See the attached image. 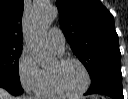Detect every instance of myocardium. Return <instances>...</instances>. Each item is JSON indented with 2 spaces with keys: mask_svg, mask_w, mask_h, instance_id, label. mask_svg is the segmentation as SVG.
Listing matches in <instances>:
<instances>
[{
  "mask_svg": "<svg viewBox=\"0 0 128 99\" xmlns=\"http://www.w3.org/2000/svg\"><path fill=\"white\" fill-rule=\"evenodd\" d=\"M57 62H58V65H60V66L67 64V63L78 64L82 68V70L85 74L86 82L81 90L74 92V93L67 92L60 87V85L57 81L56 74L53 71L49 70L48 73H49L50 83H51V86H52L53 90L55 91V93L58 96L66 97V98H76V97H79V96H82L83 94H85L91 85V75H90V72H89L88 68L86 67V65L81 60L74 58V57H60L57 60Z\"/></svg>",
  "mask_w": 128,
  "mask_h": 99,
  "instance_id": "myocardium-1",
  "label": "myocardium"
}]
</instances>
